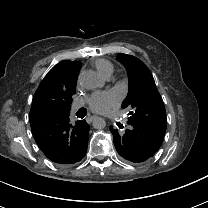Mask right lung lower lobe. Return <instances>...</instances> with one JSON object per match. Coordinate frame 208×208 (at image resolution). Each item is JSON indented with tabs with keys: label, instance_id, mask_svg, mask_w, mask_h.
<instances>
[{
	"label": "right lung lower lobe",
	"instance_id": "obj_1",
	"mask_svg": "<svg viewBox=\"0 0 208 208\" xmlns=\"http://www.w3.org/2000/svg\"><path fill=\"white\" fill-rule=\"evenodd\" d=\"M32 134L45 156L57 164H74L87 152L89 125L78 120L75 126L69 115L42 113L29 115Z\"/></svg>",
	"mask_w": 208,
	"mask_h": 208
}]
</instances>
